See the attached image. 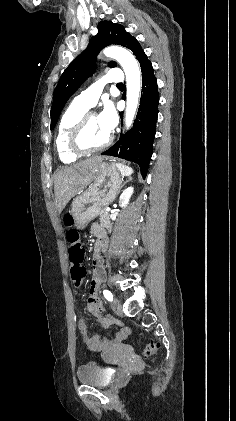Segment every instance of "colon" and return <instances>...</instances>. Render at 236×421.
<instances>
[{
  "label": "colon",
  "instance_id": "colon-1",
  "mask_svg": "<svg viewBox=\"0 0 236 421\" xmlns=\"http://www.w3.org/2000/svg\"><path fill=\"white\" fill-rule=\"evenodd\" d=\"M64 222L67 226L72 227L73 218L71 215L64 217ZM68 257L70 262V277L72 283L78 287L86 275V269L83 267L85 250L80 242L79 233L75 229H70L68 232ZM157 345L154 342L147 343L143 348L145 356H152L156 353Z\"/></svg>",
  "mask_w": 236,
  "mask_h": 421
}]
</instances>
